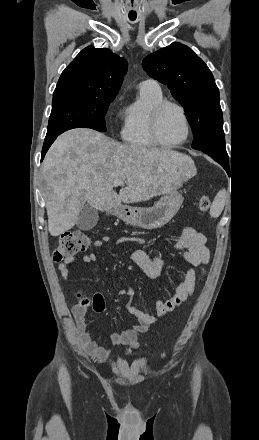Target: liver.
I'll use <instances>...</instances> for the list:
<instances>
[{"label": "liver", "mask_w": 259, "mask_h": 440, "mask_svg": "<svg viewBox=\"0 0 259 440\" xmlns=\"http://www.w3.org/2000/svg\"><path fill=\"white\" fill-rule=\"evenodd\" d=\"M48 230L59 236L77 223L85 203L96 210L148 201L196 174L193 160L170 149L124 145L87 128L61 134L42 165ZM123 179L119 194L114 181Z\"/></svg>", "instance_id": "liver-1"}]
</instances>
